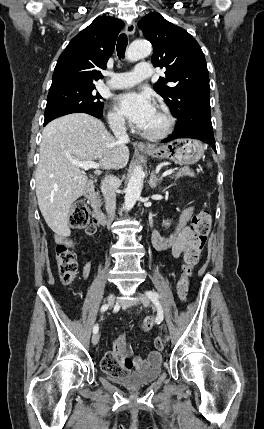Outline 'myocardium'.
I'll list each match as a JSON object with an SVG mask.
<instances>
[{"mask_svg":"<svg viewBox=\"0 0 264 429\" xmlns=\"http://www.w3.org/2000/svg\"><path fill=\"white\" fill-rule=\"evenodd\" d=\"M157 111L164 117L165 125L158 132H146L141 130V135L148 140H160L167 137L173 130L175 119L171 114L170 110L164 105H158L156 108Z\"/></svg>","mask_w":264,"mask_h":429,"instance_id":"f54148a6","label":"myocardium"}]
</instances>
